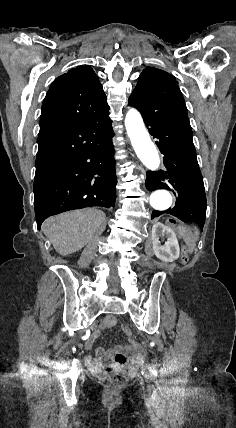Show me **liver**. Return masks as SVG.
Wrapping results in <instances>:
<instances>
[{
	"mask_svg": "<svg viewBox=\"0 0 236 428\" xmlns=\"http://www.w3.org/2000/svg\"><path fill=\"white\" fill-rule=\"evenodd\" d=\"M106 216L96 208L65 212L45 220L42 228L54 250L60 256H69L82 250L93 236H101L105 230Z\"/></svg>",
	"mask_w": 236,
	"mask_h": 428,
	"instance_id": "1",
	"label": "liver"
}]
</instances>
